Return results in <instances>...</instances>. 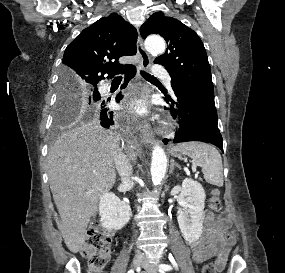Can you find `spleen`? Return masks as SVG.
<instances>
[{
	"label": "spleen",
	"mask_w": 285,
	"mask_h": 273,
	"mask_svg": "<svg viewBox=\"0 0 285 273\" xmlns=\"http://www.w3.org/2000/svg\"><path fill=\"white\" fill-rule=\"evenodd\" d=\"M174 151L191 157L202 168L204 179L215 186H223V166L219 152L213 146L201 142H183Z\"/></svg>",
	"instance_id": "obj_1"
}]
</instances>
